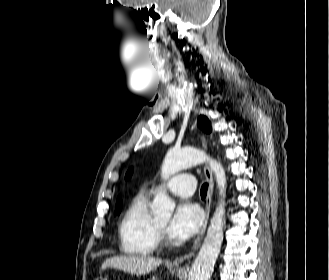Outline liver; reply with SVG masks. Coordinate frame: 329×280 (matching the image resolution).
Here are the masks:
<instances>
[{
    "label": "liver",
    "mask_w": 329,
    "mask_h": 280,
    "mask_svg": "<svg viewBox=\"0 0 329 280\" xmlns=\"http://www.w3.org/2000/svg\"><path fill=\"white\" fill-rule=\"evenodd\" d=\"M162 260L149 256H114L106 259L101 265V271L107 268L122 270L131 275L142 276L156 269Z\"/></svg>",
    "instance_id": "1"
}]
</instances>
